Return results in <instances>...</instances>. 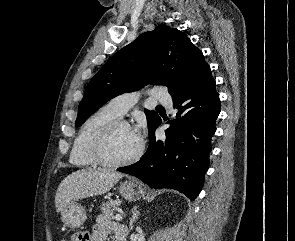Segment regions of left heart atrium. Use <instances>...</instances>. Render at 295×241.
Instances as JSON below:
<instances>
[{
	"mask_svg": "<svg viewBox=\"0 0 295 241\" xmlns=\"http://www.w3.org/2000/svg\"><path fill=\"white\" fill-rule=\"evenodd\" d=\"M143 127H144V124L140 122L135 128L132 129L133 134L139 140L141 137V131H142Z\"/></svg>",
	"mask_w": 295,
	"mask_h": 241,
	"instance_id": "39dd6f15",
	"label": "left heart atrium"
}]
</instances>
